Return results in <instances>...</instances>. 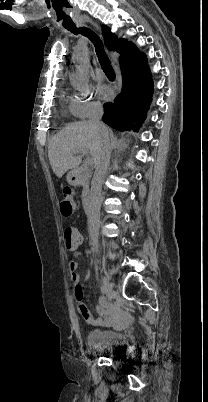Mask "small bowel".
Wrapping results in <instances>:
<instances>
[{
    "instance_id": "obj_1",
    "label": "small bowel",
    "mask_w": 208,
    "mask_h": 402,
    "mask_svg": "<svg viewBox=\"0 0 208 402\" xmlns=\"http://www.w3.org/2000/svg\"><path fill=\"white\" fill-rule=\"evenodd\" d=\"M80 243L86 242V237H79ZM70 267L72 269L71 280L74 284V297L78 299L84 298V289L81 282L80 275L75 271L77 269V263L73 262L72 259L68 260ZM98 316L93 317L89 316L87 320L92 324L93 329L95 330H127L131 327V324L127 321H115L119 318L126 320V311L124 309H119L115 305L110 304L106 299H103L96 307ZM132 317L137 315L135 310L130 312Z\"/></svg>"
}]
</instances>
